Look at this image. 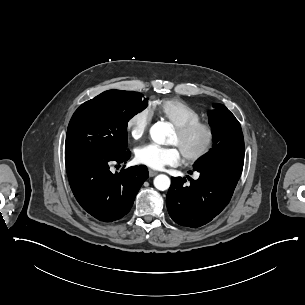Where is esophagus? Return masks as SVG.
Masks as SVG:
<instances>
[{
  "mask_svg": "<svg viewBox=\"0 0 305 305\" xmlns=\"http://www.w3.org/2000/svg\"><path fill=\"white\" fill-rule=\"evenodd\" d=\"M158 173L156 171H153L151 169H149V177H154L156 176Z\"/></svg>",
  "mask_w": 305,
  "mask_h": 305,
  "instance_id": "obj_1",
  "label": "esophagus"
}]
</instances>
